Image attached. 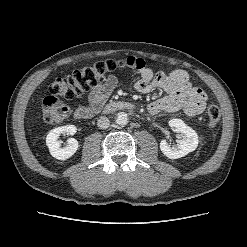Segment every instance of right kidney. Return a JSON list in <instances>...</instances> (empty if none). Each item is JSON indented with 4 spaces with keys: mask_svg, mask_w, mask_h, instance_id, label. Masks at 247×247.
Returning <instances> with one entry per match:
<instances>
[{
    "mask_svg": "<svg viewBox=\"0 0 247 247\" xmlns=\"http://www.w3.org/2000/svg\"><path fill=\"white\" fill-rule=\"evenodd\" d=\"M77 128L74 125H66L55 128L49 132L46 137V145L49 148L50 154L59 160H66L72 157L77 151L79 144L74 138L68 140V145L60 147V141L58 140L61 134L74 135Z\"/></svg>",
    "mask_w": 247,
    "mask_h": 247,
    "instance_id": "1",
    "label": "right kidney"
}]
</instances>
